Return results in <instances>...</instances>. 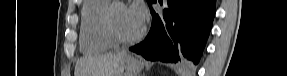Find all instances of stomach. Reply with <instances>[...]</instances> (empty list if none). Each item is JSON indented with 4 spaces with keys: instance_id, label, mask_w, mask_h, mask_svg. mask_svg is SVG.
<instances>
[{
    "instance_id": "0dacf381",
    "label": "stomach",
    "mask_w": 287,
    "mask_h": 76,
    "mask_svg": "<svg viewBox=\"0 0 287 76\" xmlns=\"http://www.w3.org/2000/svg\"><path fill=\"white\" fill-rule=\"evenodd\" d=\"M143 65L136 58L131 55H126L114 76H138Z\"/></svg>"
}]
</instances>
